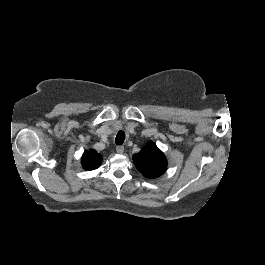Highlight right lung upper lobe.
Wrapping results in <instances>:
<instances>
[{
	"mask_svg": "<svg viewBox=\"0 0 265 265\" xmlns=\"http://www.w3.org/2000/svg\"><path fill=\"white\" fill-rule=\"evenodd\" d=\"M101 155L94 150L85 151L82 156V166L86 170H94L101 164Z\"/></svg>",
	"mask_w": 265,
	"mask_h": 265,
	"instance_id": "cb5924a9",
	"label": "right lung upper lobe"
}]
</instances>
